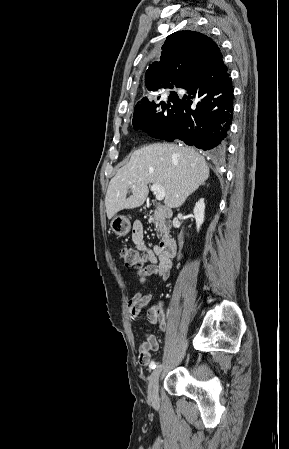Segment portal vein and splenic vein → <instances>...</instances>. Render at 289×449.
I'll return each mask as SVG.
<instances>
[{
    "label": "portal vein and splenic vein",
    "instance_id": "1",
    "mask_svg": "<svg viewBox=\"0 0 289 449\" xmlns=\"http://www.w3.org/2000/svg\"><path fill=\"white\" fill-rule=\"evenodd\" d=\"M151 191L155 194L157 200L161 201L164 199L166 192L160 184H153L151 186Z\"/></svg>",
    "mask_w": 289,
    "mask_h": 449
}]
</instances>
